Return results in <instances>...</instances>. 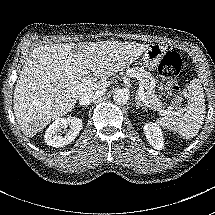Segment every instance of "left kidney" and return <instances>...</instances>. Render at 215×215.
Wrapping results in <instances>:
<instances>
[{
    "instance_id": "obj_1",
    "label": "left kidney",
    "mask_w": 215,
    "mask_h": 215,
    "mask_svg": "<svg viewBox=\"0 0 215 215\" xmlns=\"http://www.w3.org/2000/svg\"><path fill=\"white\" fill-rule=\"evenodd\" d=\"M144 133L148 143L155 149L161 150L163 148L162 133L156 124L144 125Z\"/></svg>"
}]
</instances>
